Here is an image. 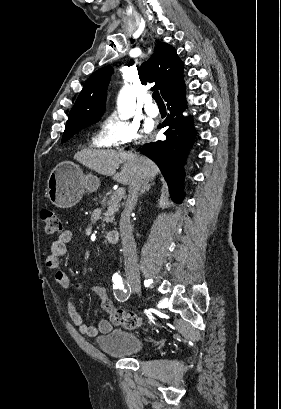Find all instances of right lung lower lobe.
<instances>
[{
    "instance_id": "98d812e1",
    "label": "right lung lower lobe",
    "mask_w": 281,
    "mask_h": 409,
    "mask_svg": "<svg viewBox=\"0 0 281 409\" xmlns=\"http://www.w3.org/2000/svg\"><path fill=\"white\" fill-rule=\"evenodd\" d=\"M170 114L158 127H166V140L144 145V153L160 168L173 201L183 199V162L190 144L194 140L195 129L190 118L183 119L181 113L186 108L184 81L165 98Z\"/></svg>"
}]
</instances>
